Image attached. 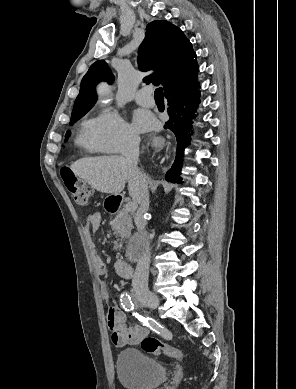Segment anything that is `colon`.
I'll return each mask as SVG.
<instances>
[{"label":"colon","instance_id":"1","mask_svg":"<svg viewBox=\"0 0 296 389\" xmlns=\"http://www.w3.org/2000/svg\"><path fill=\"white\" fill-rule=\"evenodd\" d=\"M61 177L75 203L81 207L88 206L91 192L87 184L77 178L71 169L67 167L61 169ZM141 348L143 351L155 355H166L173 358H182L184 356L181 350L151 336H146L141 340Z\"/></svg>","mask_w":296,"mask_h":389}]
</instances>
